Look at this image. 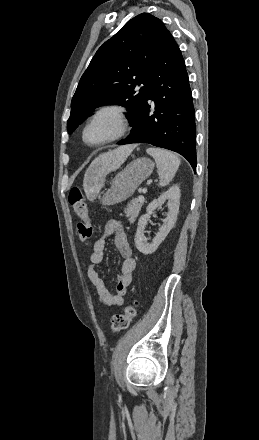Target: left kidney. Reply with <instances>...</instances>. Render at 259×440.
Listing matches in <instances>:
<instances>
[{
    "mask_svg": "<svg viewBox=\"0 0 259 440\" xmlns=\"http://www.w3.org/2000/svg\"><path fill=\"white\" fill-rule=\"evenodd\" d=\"M168 201L169 211L167 217L163 221L159 232L156 234L151 243L144 236V230L152 212L159 206ZM180 205V189L177 185L170 187L162 193L157 199H154L147 206V213L142 215L138 221V227L135 234V246L141 253L148 255L156 251L161 242L166 238L170 230L174 227L177 220V214Z\"/></svg>",
    "mask_w": 259,
    "mask_h": 440,
    "instance_id": "obj_1",
    "label": "left kidney"
}]
</instances>
